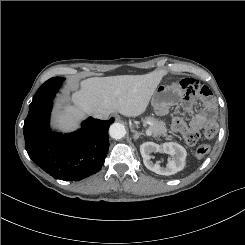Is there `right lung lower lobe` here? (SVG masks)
Returning <instances> with one entry per match:
<instances>
[{
  "label": "right lung lower lobe",
  "instance_id": "1",
  "mask_svg": "<svg viewBox=\"0 0 245 245\" xmlns=\"http://www.w3.org/2000/svg\"><path fill=\"white\" fill-rule=\"evenodd\" d=\"M64 78L47 80L35 93L24 121L29 157L55 179L78 181L98 172L108 149V129L114 122L90 117L76 132L63 135L49 127L52 100Z\"/></svg>",
  "mask_w": 245,
  "mask_h": 245
}]
</instances>
